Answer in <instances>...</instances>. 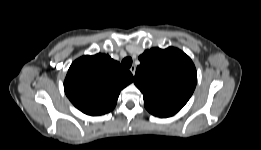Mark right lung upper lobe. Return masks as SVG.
I'll return each mask as SVG.
<instances>
[{
  "label": "right lung upper lobe",
  "instance_id": "obj_1",
  "mask_svg": "<svg viewBox=\"0 0 261 150\" xmlns=\"http://www.w3.org/2000/svg\"><path fill=\"white\" fill-rule=\"evenodd\" d=\"M133 81V75L109 55L83 56L70 66L64 90L76 108L87 115L110 112L120 91Z\"/></svg>",
  "mask_w": 261,
  "mask_h": 150
}]
</instances>
